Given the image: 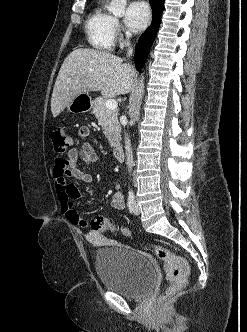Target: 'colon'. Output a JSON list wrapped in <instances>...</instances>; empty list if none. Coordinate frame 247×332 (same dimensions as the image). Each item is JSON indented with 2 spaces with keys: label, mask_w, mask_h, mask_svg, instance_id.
Listing matches in <instances>:
<instances>
[{
  "label": "colon",
  "mask_w": 247,
  "mask_h": 332,
  "mask_svg": "<svg viewBox=\"0 0 247 332\" xmlns=\"http://www.w3.org/2000/svg\"><path fill=\"white\" fill-rule=\"evenodd\" d=\"M51 138L54 149L58 154L69 152L74 145L72 136L63 127H56L52 131ZM91 229L96 232L108 233L114 232L116 226L110 219L98 217L92 220ZM122 233L128 235L129 231L126 228H123ZM146 247L164 262V269L167 278L170 281V285L160 296V301H167L186 287L189 275V265L184 258L172 253L164 247L151 244L146 245Z\"/></svg>",
  "instance_id": "1"
}]
</instances>
